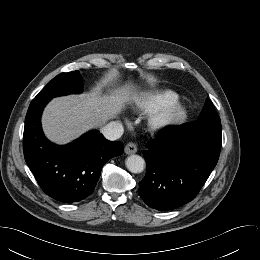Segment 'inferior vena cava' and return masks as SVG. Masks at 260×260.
<instances>
[{
  "label": "inferior vena cava",
  "instance_id": "1",
  "mask_svg": "<svg viewBox=\"0 0 260 260\" xmlns=\"http://www.w3.org/2000/svg\"><path fill=\"white\" fill-rule=\"evenodd\" d=\"M124 132L122 123L118 121H112L102 127L101 133L108 140H117L119 139Z\"/></svg>",
  "mask_w": 260,
  "mask_h": 260
}]
</instances>
